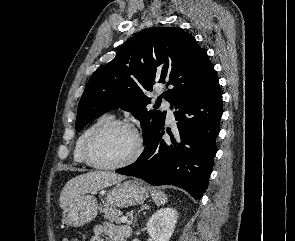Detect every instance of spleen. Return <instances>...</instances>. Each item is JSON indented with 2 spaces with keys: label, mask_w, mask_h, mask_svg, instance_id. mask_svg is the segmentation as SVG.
Instances as JSON below:
<instances>
[{
  "label": "spleen",
  "mask_w": 295,
  "mask_h": 241,
  "mask_svg": "<svg viewBox=\"0 0 295 241\" xmlns=\"http://www.w3.org/2000/svg\"><path fill=\"white\" fill-rule=\"evenodd\" d=\"M150 192H151V196H152L153 201L158 206L163 205V204L166 203L167 197L163 192H161L159 190H151Z\"/></svg>",
  "instance_id": "3e777b00"
}]
</instances>
